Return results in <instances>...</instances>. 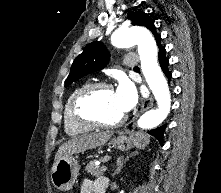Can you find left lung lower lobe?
<instances>
[{"instance_id": "1", "label": "left lung lower lobe", "mask_w": 221, "mask_h": 193, "mask_svg": "<svg viewBox=\"0 0 221 193\" xmlns=\"http://www.w3.org/2000/svg\"><path fill=\"white\" fill-rule=\"evenodd\" d=\"M157 45H158V49H159L158 59H159L160 66L162 68V71L164 72V74L168 78V81L170 82L172 74L168 70L169 61H168V59L166 58V55H165V47H163L161 45V43H159ZM165 128H166V125H163V126L157 128V129L149 131V134L155 136L159 140L161 145H163V132H164Z\"/></svg>"}]
</instances>
